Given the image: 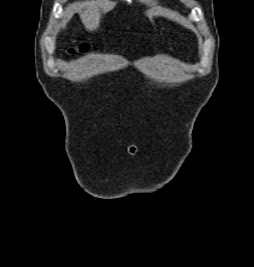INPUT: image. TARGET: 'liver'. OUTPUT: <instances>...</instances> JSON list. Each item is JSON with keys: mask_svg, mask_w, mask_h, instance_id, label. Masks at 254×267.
Instances as JSON below:
<instances>
[{"mask_svg": "<svg viewBox=\"0 0 254 267\" xmlns=\"http://www.w3.org/2000/svg\"><path fill=\"white\" fill-rule=\"evenodd\" d=\"M114 5L115 2L108 0H86L69 4L64 11L66 19L62 21L63 28H65L73 14L79 12L85 28L89 31H95L100 25L101 10H109Z\"/></svg>", "mask_w": 254, "mask_h": 267, "instance_id": "1", "label": "liver"}]
</instances>
